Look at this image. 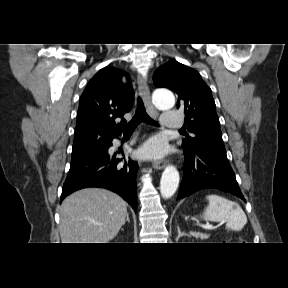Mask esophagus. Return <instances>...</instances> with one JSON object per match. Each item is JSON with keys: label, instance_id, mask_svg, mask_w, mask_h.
Masks as SVG:
<instances>
[{"label": "esophagus", "instance_id": "34e87169", "mask_svg": "<svg viewBox=\"0 0 288 288\" xmlns=\"http://www.w3.org/2000/svg\"><path fill=\"white\" fill-rule=\"evenodd\" d=\"M137 82H138L139 92L142 96V99H143V102L145 104V107H146L148 114L152 117H157L158 112L154 108V106L151 102L150 91H149V87H148L146 78L143 75L138 74ZM165 166H166V160L155 161L153 163V167L157 170H161Z\"/></svg>", "mask_w": 288, "mask_h": 288}]
</instances>
